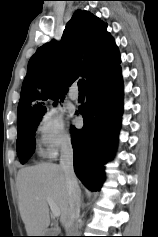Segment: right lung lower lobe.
<instances>
[{
    "label": "right lung lower lobe",
    "mask_w": 158,
    "mask_h": 237,
    "mask_svg": "<svg viewBox=\"0 0 158 237\" xmlns=\"http://www.w3.org/2000/svg\"><path fill=\"white\" fill-rule=\"evenodd\" d=\"M87 100L79 112L82 129L72 127L74 170L90 190H100L106 161L113 155L121 123L123 85L120 68L94 79L87 85Z\"/></svg>",
    "instance_id": "right-lung-lower-lobe-1"
}]
</instances>
